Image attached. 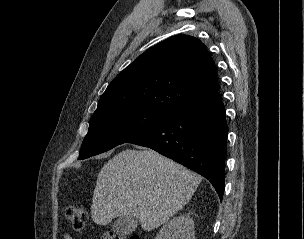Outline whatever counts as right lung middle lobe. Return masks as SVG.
Listing matches in <instances>:
<instances>
[{"label": "right lung middle lobe", "instance_id": "obj_1", "mask_svg": "<svg viewBox=\"0 0 304 239\" xmlns=\"http://www.w3.org/2000/svg\"><path fill=\"white\" fill-rule=\"evenodd\" d=\"M171 115L148 108H121L91 118L79 159L108 151L152 130Z\"/></svg>", "mask_w": 304, "mask_h": 239}]
</instances>
